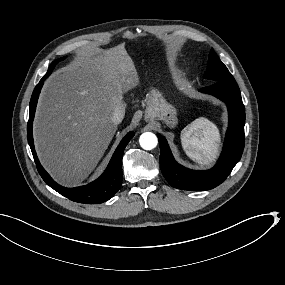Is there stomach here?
<instances>
[{"mask_svg":"<svg viewBox=\"0 0 285 285\" xmlns=\"http://www.w3.org/2000/svg\"><path fill=\"white\" fill-rule=\"evenodd\" d=\"M146 99L145 119L147 121L162 120L170 127L177 124V109L166 101L159 90L152 88Z\"/></svg>","mask_w":285,"mask_h":285,"instance_id":"obj_1","label":"stomach"}]
</instances>
